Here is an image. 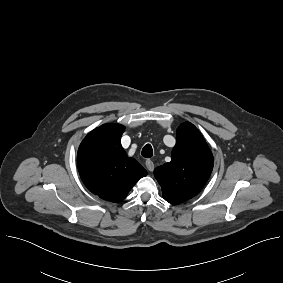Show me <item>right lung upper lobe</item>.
<instances>
[{"label": "right lung upper lobe", "instance_id": "cb5924a9", "mask_svg": "<svg viewBox=\"0 0 283 283\" xmlns=\"http://www.w3.org/2000/svg\"><path fill=\"white\" fill-rule=\"evenodd\" d=\"M125 127L104 124L91 131L78 149L77 163L86 187L100 198L123 200L147 171L121 145Z\"/></svg>", "mask_w": 283, "mask_h": 283}]
</instances>
